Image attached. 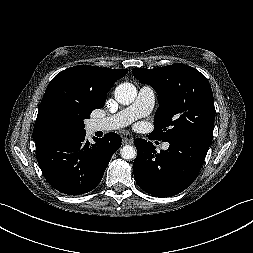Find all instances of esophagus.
<instances>
[{
	"instance_id": "obj_1",
	"label": "esophagus",
	"mask_w": 253,
	"mask_h": 253,
	"mask_svg": "<svg viewBox=\"0 0 253 253\" xmlns=\"http://www.w3.org/2000/svg\"><path fill=\"white\" fill-rule=\"evenodd\" d=\"M132 143H133L132 138L124 137L123 140H122L123 145L132 144Z\"/></svg>"
}]
</instances>
